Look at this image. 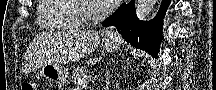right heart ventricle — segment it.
Returning a JSON list of instances; mask_svg holds the SVG:
<instances>
[{"mask_svg": "<svg viewBox=\"0 0 216 90\" xmlns=\"http://www.w3.org/2000/svg\"><path fill=\"white\" fill-rule=\"evenodd\" d=\"M36 16L40 28H87L82 19H74L71 7L78 0H41Z\"/></svg>", "mask_w": 216, "mask_h": 90, "instance_id": "obj_1", "label": "right heart ventricle"}]
</instances>
